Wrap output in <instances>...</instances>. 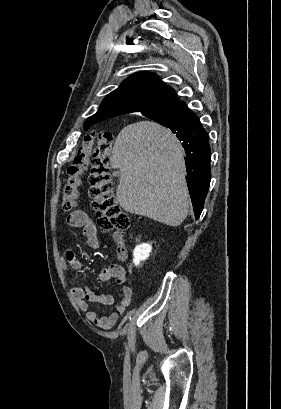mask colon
<instances>
[{"mask_svg":"<svg viewBox=\"0 0 281 409\" xmlns=\"http://www.w3.org/2000/svg\"><path fill=\"white\" fill-rule=\"evenodd\" d=\"M114 150L113 135L99 132L87 137L81 149L77 150L66 169L63 185L62 209L73 211L79 202V189L87 164H91L92 207L98 223L107 230L123 231L131 225L130 218L121 210L113 194L114 183L111 175L110 159ZM120 242L118 255L126 259L127 248Z\"/></svg>","mask_w":281,"mask_h":409,"instance_id":"5ec220e1","label":"colon"}]
</instances>
